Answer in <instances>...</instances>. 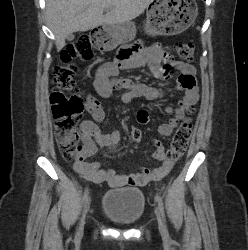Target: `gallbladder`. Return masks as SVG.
<instances>
[{
  "label": "gallbladder",
  "instance_id": "1",
  "mask_svg": "<svg viewBox=\"0 0 248 250\" xmlns=\"http://www.w3.org/2000/svg\"><path fill=\"white\" fill-rule=\"evenodd\" d=\"M68 41H71L74 39V35L73 34H69L66 38Z\"/></svg>",
  "mask_w": 248,
  "mask_h": 250
}]
</instances>
